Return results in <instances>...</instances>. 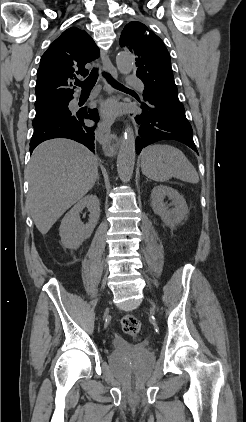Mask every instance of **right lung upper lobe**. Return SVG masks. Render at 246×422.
Segmentation results:
<instances>
[{
  "label": "right lung upper lobe",
  "mask_w": 246,
  "mask_h": 422,
  "mask_svg": "<svg viewBox=\"0 0 246 422\" xmlns=\"http://www.w3.org/2000/svg\"><path fill=\"white\" fill-rule=\"evenodd\" d=\"M98 56V47L85 31L65 30L41 57L35 86L36 110L70 101L74 92L68 88L71 80L88 75L85 64Z\"/></svg>",
  "instance_id": "cb5924a9"
}]
</instances>
